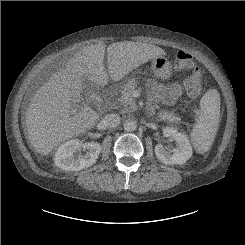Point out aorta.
I'll return each instance as SVG.
<instances>
[{
  "mask_svg": "<svg viewBox=\"0 0 245 245\" xmlns=\"http://www.w3.org/2000/svg\"><path fill=\"white\" fill-rule=\"evenodd\" d=\"M137 124L136 121L132 120V119H128L123 123V128L125 131L127 132H132L136 129Z\"/></svg>",
  "mask_w": 245,
  "mask_h": 245,
  "instance_id": "1",
  "label": "aorta"
}]
</instances>
